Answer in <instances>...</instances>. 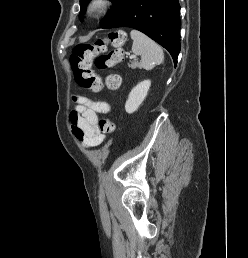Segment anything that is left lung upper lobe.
<instances>
[{"mask_svg": "<svg viewBox=\"0 0 248 258\" xmlns=\"http://www.w3.org/2000/svg\"><path fill=\"white\" fill-rule=\"evenodd\" d=\"M90 0H80L81 13L84 14L86 5ZM113 3L112 11L102 20L101 25L106 24L110 21L127 3L129 0H111ZM80 15V19L83 18V15Z\"/></svg>", "mask_w": 248, "mask_h": 258, "instance_id": "1", "label": "left lung upper lobe"}]
</instances>
